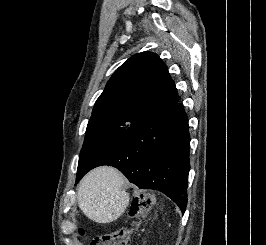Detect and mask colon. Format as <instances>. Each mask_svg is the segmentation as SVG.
<instances>
[{
	"instance_id": "1",
	"label": "colon",
	"mask_w": 266,
	"mask_h": 245,
	"mask_svg": "<svg viewBox=\"0 0 266 245\" xmlns=\"http://www.w3.org/2000/svg\"><path fill=\"white\" fill-rule=\"evenodd\" d=\"M153 207V201L150 197L137 196L133 198L129 209V216L139 218L146 214ZM133 229L120 228L117 232L105 233L96 236L91 245H131V234Z\"/></svg>"
}]
</instances>
